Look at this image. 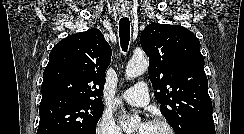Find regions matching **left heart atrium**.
<instances>
[{"label": "left heart atrium", "mask_w": 244, "mask_h": 134, "mask_svg": "<svg viewBox=\"0 0 244 134\" xmlns=\"http://www.w3.org/2000/svg\"><path fill=\"white\" fill-rule=\"evenodd\" d=\"M143 126H146L147 124H142Z\"/></svg>", "instance_id": "left-heart-atrium-1"}]
</instances>
